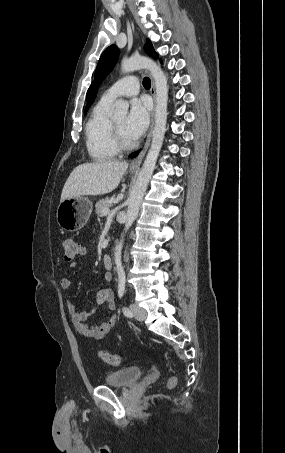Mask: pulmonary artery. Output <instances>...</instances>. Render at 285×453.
Listing matches in <instances>:
<instances>
[{"label":"pulmonary artery","mask_w":285,"mask_h":453,"mask_svg":"<svg viewBox=\"0 0 285 453\" xmlns=\"http://www.w3.org/2000/svg\"><path fill=\"white\" fill-rule=\"evenodd\" d=\"M139 91V80L136 76H126L115 82L102 95V99L113 102L119 97L136 95Z\"/></svg>","instance_id":"e3ab8cb5"}]
</instances>
